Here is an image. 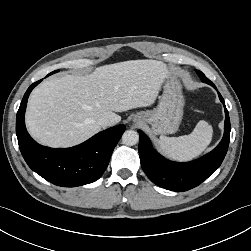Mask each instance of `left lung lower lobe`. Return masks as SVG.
<instances>
[{
    "mask_svg": "<svg viewBox=\"0 0 251 251\" xmlns=\"http://www.w3.org/2000/svg\"><path fill=\"white\" fill-rule=\"evenodd\" d=\"M207 84L216 89L211 81ZM218 95L225 108L224 136L215 149L197 160L186 163L169 161L152 148L149 138L141 130L138 131L141 166L153 183L172 191H187L201 184L221 165L229 146L230 120L224 100L219 92Z\"/></svg>",
    "mask_w": 251,
    "mask_h": 251,
    "instance_id": "obj_1",
    "label": "left lung lower lobe"
}]
</instances>
